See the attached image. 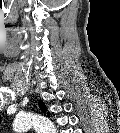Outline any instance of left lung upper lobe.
Instances as JSON below:
<instances>
[{"label":"left lung upper lobe","mask_w":120,"mask_h":133,"mask_svg":"<svg viewBox=\"0 0 120 133\" xmlns=\"http://www.w3.org/2000/svg\"><path fill=\"white\" fill-rule=\"evenodd\" d=\"M39 104H40V109L43 111V112H45V109H46V106H45V104L43 103V102H39ZM48 116L50 115L49 113L47 114ZM1 119V118H0Z\"/></svg>","instance_id":"1"}]
</instances>
